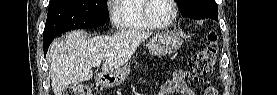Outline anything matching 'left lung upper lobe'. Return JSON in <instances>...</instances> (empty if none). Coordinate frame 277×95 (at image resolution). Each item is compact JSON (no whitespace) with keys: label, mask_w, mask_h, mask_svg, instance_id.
<instances>
[{"label":"left lung upper lobe","mask_w":277,"mask_h":95,"mask_svg":"<svg viewBox=\"0 0 277 95\" xmlns=\"http://www.w3.org/2000/svg\"><path fill=\"white\" fill-rule=\"evenodd\" d=\"M183 17L192 19L211 18L218 21L217 3L215 0H176Z\"/></svg>","instance_id":"1"}]
</instances>
